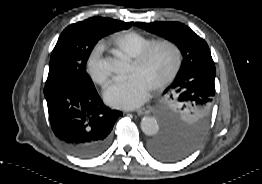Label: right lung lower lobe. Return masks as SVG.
<instances>
[{
  "mask_svg": "<svg viewBox=\"0 0 262 184\" xmlns=\"http://www.w3.org/2000/svg\"><path fill=\"white\" fill-rule=\"evenodd\" d=\"M51 128L61 144L81 158H94L106 151L111 130L122 114L106 107L95 87L75 82L46 84Z\"/></svg>",
  "mask_w": 262,
  "mask_h": 184,
  "instance_id": "98d812e1",
  "label": "right lung lower lobe"
}]
</instances>
